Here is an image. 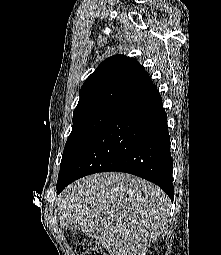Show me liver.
Masks as SVG:
<instances>
[{"mask_svg":"<svg viewBox=\"0 0 221 255\" xmlns=\"http://www.w3.org/2000/svg\"><path fill=\"white\" fill-rule=\"evenodd\" d=\"M60 226L74 223L110 255H146L169 216V198L136 176L105 172L86 176L59 195Z\"/></svg>","mask_w":221,"mask_h":255,"instance_id":"liver-1","label":"liver"}]
</instances>
